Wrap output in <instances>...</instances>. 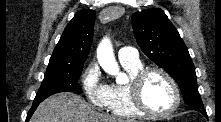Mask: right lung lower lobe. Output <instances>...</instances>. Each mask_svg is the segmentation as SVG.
Segmentation results:
<instances>
[{
    "instance_id": "obj_1",
    "label": "right lung lower lobe",
    "mask_w": 221,
    "mask_h": 122,
    "mask_svg": "<svg viewBox=\"0 0 221 122\" xmlns=\"http://www.w3.org/2000/svg\"><path fill=\"white\" fill-rule=\"evenodd\" d=\"M39 103H35V102L33 103L32 108L30 109V111L27 115L26 121H28L31 118V116L33 115V113L36 110L37 106L39 105Z\"/></svg>"
}]
</instances>
